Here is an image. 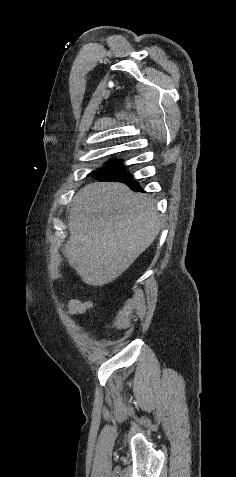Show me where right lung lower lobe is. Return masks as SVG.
I'll return each instance as SVG.
<instances>
[{"mask_svg": "<svg viewBox=\"0 0 236 477\" xmlns=\"http://www.w3.org/2000/svg\"><path fill=\"white\" fill-rule=\"evenodd\" d=\"M99 181H118L127 184L132 190L140 191L142 188L140 187L137 181H134L132 175H130L127 171L121 170L113 175L104 177L99 179Z\"/></svg>", "mask_w": 236, "mask_h": 477, "instance_id": "right-lung-lower-lobe-1", "label": "right lung lower lobe"}]
</instances>
